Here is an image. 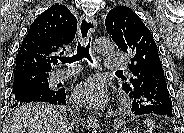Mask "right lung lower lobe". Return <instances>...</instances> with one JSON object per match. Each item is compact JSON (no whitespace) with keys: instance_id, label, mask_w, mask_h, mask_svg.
Wrapping results in <instances>:
<instances>
[{"instance_id":"right-lung-lower-lobe-1","label":"right lung lower lobe","mask_w":184,"mask_h":133,"mask_svg":"<svg viewBox=\"0 0 184 133\" xmlns=\"http://www.w3.org/2000/svg\"><path fill=\"white\" fill-rule=\"evenodd\" d=\"M11 101L13 104L47 102L50 104L66 105V93L64 88L48 94H43L32 89H25L12 94Z\"/></svg>"}]
</instances>
